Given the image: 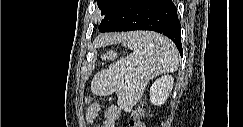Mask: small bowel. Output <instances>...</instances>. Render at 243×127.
<instances>
[{
    "label": "small bowel",
    "instance_id": "1",
    "mask_svg": "<svg viewBox=\"0 0 243 127\" xmlns=\"http://www.w3.org/2000/svg\"><path fill=\"white\" fill-rule=\"evenodd\" d=\"M101 110V105L99 103H93L87 110L86 119L89 123H92L94 119L98 116ZM120 108L116 105H111L105 112L104 127H115L117 121L120 117Z\"/></svg>",
    "mask_w": 243,
    "mask_h": 127
}]
</instances>
